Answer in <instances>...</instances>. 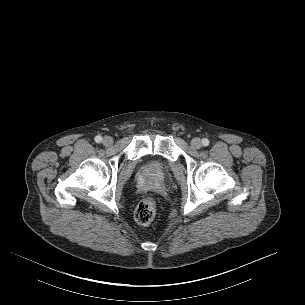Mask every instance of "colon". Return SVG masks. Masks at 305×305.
<instances>
[{"mask_svg": "<svg viewBox=\"0 0 305 305\" xmlns=\"http://www.w3.org/2000/svg\"><path fill=\"white\" fill-rule=\"evenodd\" d=\"M134 217L141 225H153L156 221V200L153 197L143 198L135 209Z\"/></svg>", "mask_w": 305, "mask_h": 305, "instance_id": "colon-1", "label": "colon"}]
</instances>
